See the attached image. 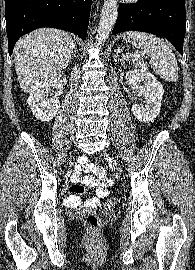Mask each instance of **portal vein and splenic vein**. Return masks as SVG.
Masks as SVG:
<instances>
[{"instance_id": "1", "label": "portal vein and splenic vein", "mask_w": 195, "mask_h": 270, "mask_svg": "<svg viewBox=\"0 0 195 270\" xmlns=\"http://www.w3.org/2000/svg\"><path fill=\"white\" fill-rule=\"evenodd\" d=\"M143 56V55H142ZM122 57L124 58V59H126V58H130V57H133V58H138V57H140V55H137V54H123L122 55Z\"/></svg>"}]
</instances>
